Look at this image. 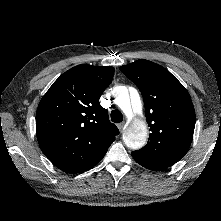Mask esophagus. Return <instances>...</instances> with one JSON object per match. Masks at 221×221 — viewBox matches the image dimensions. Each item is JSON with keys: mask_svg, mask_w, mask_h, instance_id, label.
I'll return each mask as SVG.
<instances>
[{"mask_svg": "<svg viewBox=\"0 0 221 221\" xmlns=\"http://www.w3.org/2000/svg\"><path fill=\"white\" fill-rule=\"evenodd\" d=\"M125 126H126V124H125L124 122L119 123V124L117 125L118 129H119L121 132L124 130Z\"/></svg>", "mask_w": 221, "mask_h": 221, "instance_id": "obj_1", "label": "esophagus"}]
</instances>
